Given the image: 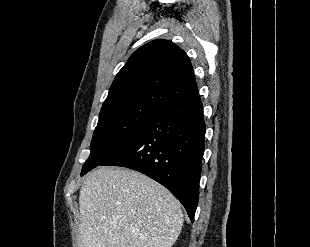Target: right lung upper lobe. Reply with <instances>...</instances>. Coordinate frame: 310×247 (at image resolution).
I'll return each mask as SVG.
<instances>
[{
    "label": "right lung upper lobe",
    "mask_w": 310,
    "mask_h": 247,
    "mask_svg": "<svg viewBox=\"0 0 310 247\" xmlns=\"http://www.w3.org/2000/svg\"><path fill=\"white\" fill-rule=\"evenodd\" d=\"M198 91L188 56L157 39L137 49L116 75L100 115L134 106L163 108Z\"/></svg>",
    "instance_id": "cb5924a9"
}]
</instances>
